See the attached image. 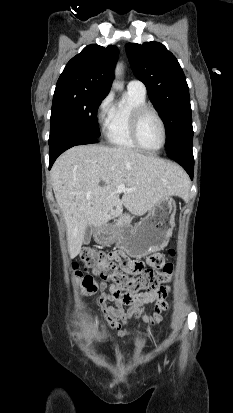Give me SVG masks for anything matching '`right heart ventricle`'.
I'll return each mask as SVG.
<instances>
[{
  "label": "right heart ventricle",
  "mask_w": 233,
  "mask_h": 413,
  "mask_svg": "<svg viewBox=\"0 0 233 413\" xmlns=\"http://www.w3.org/2000/svg\"><path fill=\"white\" fill-rule=\"evenodd\" d=\"M144 104H146V94L127 90L124 99L112 106L104 128L109 144L128 150L138 148L130 135V120L133 110Z\"/></svg>",
  "instance_id": "right-heart-ventricle-1"
}]
</instances>
